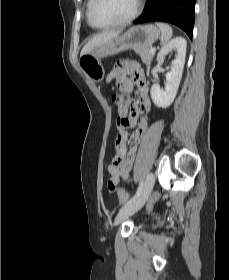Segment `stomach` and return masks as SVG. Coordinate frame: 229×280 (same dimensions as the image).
Returning a JSON list of instances; mask_svg holds the SVG:
<instances>
[{
  "label": "stomach",
  "instance_id": "obj_1",
  "mask_svg": "<svg viewBox=\"0 0 229 280\" xmlns=\"http://www.w3.org/2000/svg\"><path fill=\"white\" fill-rule=\"evenodd\" d=\"M159 29L152 24L130 28L102 45H99L79 59L84 74L93 81H102L105 75L102 58L112 56L129 49H148L159 37Z\"/></svg>",
  "mask_w": 229,
  "mask_h": 280
}]
</instances>
